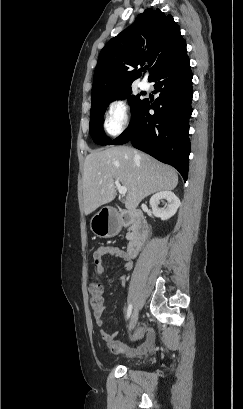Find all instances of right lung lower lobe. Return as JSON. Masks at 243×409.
<instances>
[{
  "label": "right lung lower lobe",
  "instance_id": "1",
  "mask_svg": "<svg viewBox=\"0 0 243 409\" xmlns=\"http://www.w3.org/2000/svg\"><path fill=\"white\" fill-rule=\"evenodd\" d=\"M186 45L153 76L155 103L142 100L128 128L109 145H132L175 167L184 181L189 169V118L192 113V72ZM149 109L155 111L149 114Z\"/></svg>",
  "mask_w": 243,
  "mask_h": 409
}]
</instances>
